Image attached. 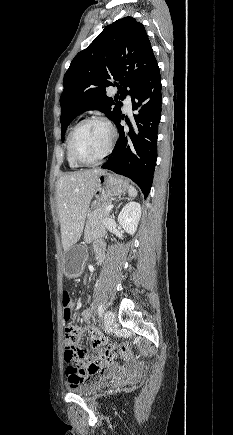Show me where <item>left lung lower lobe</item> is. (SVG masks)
Returning <instances> with one entry per match:
<instances>
[{"label": "left lung lower lobe", "mask_w": 233, "mask_h": 435, "mask_svg": "<svg viewBox=\"0 0 233 435\" xmlns=\"http://www.w3.org/2000/svg\"><path fill=\"white\" fill-rule=\"evenodd\" d=\"M161 105V77L156 64L132 94V107L137 114L131 122L126 120L129 129L121 126V115L114 122L119 141L110 159L101 166L133 180L141 188L144 198L150 192L155 171Z\"/></svg>", "instance_id": "obj_1"}]
</instances>
